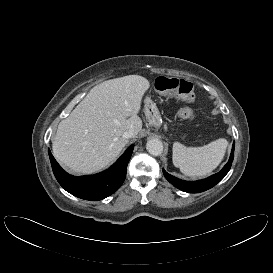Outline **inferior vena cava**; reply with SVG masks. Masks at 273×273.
I'll use <instances>...</instances> for the list:
<instances>
[{
	"label": "inferior vena cava",
	"mask_w": 273,
	"mask_h": 273,
	"mask_svg": "<svg viewBox=\"0 0 273 273\" xmlns=\"http://www.w3.org/2000/svg\"><path fill=\"white\" fill-rule=\"evenodd\" d=\"M134 131L133 130H127V131H125L124 133H123V137L125 138V139H129V138H132V137H134Z\"/></svg>",
	"instance_id": "obj_1"
}]
</instances>
